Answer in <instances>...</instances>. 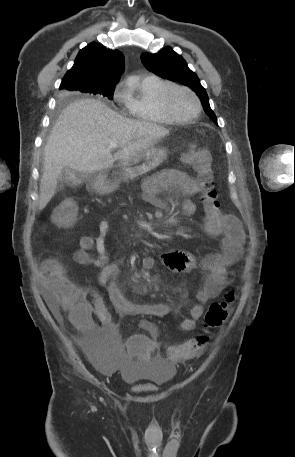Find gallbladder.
I'll list each match as a JSON object with an SVG mask.
<instances>
[{
  "label": "gallbladder",
  "mask_w": 295,
  "mask_h": 457,
  "mask_svg": "<svg viewBox=\"0 0 295 457\" xmlns=\"http://www.w3.org/2000/svg\"><path fill=\"white\" fill-rule=\"evenodd\" d=\"M80 180H82V176L77 175L68 167H64L59 174V181L70 186L77 185Z\"/></svg>",
  "instance_id": "obj_1"
}]
</instances>
